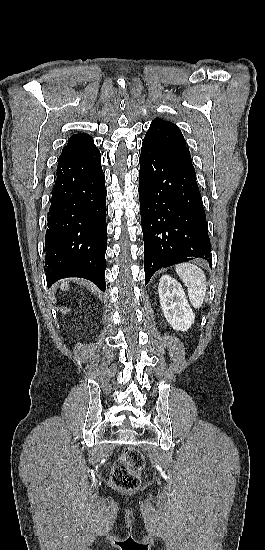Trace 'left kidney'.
<instances>
[{"label":"left kidney","instance_id":"1","mask_svg":"<svg viewBox=\"0 0 265 550\" xmlns=\"http://www.w3.org/2000/svg\"><path fill=\"white\" fill-rule=\"evenodd\" d=\"M158 293L162 311L170 326L176 331H187L194 323L195 315L181 284L169 275H163Z\"/></svg>","mask_w":265,"mask_h":550}]
</instances>
